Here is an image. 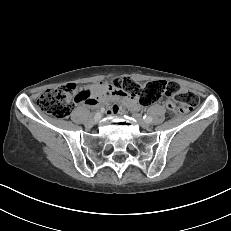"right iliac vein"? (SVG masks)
Returning <instances> with one entry per match:
<instances>
[{"instance_id": "obj_1", "label": "right iliac vein", "mask_w": 231, "mask_h": 231, "mask_svg": "<svg viewBox=\"0 0 231 231\" xmlns=\"http://www.w3.org/2000/svg\"><path fill=\"white\" fill-rule=\"evenodd\" d=\"M100 119H101V114L99 113L96 116H94V118L92 120L87 122V125L92 126V125L96 124Z\"/></svg>"}]
</instances>
